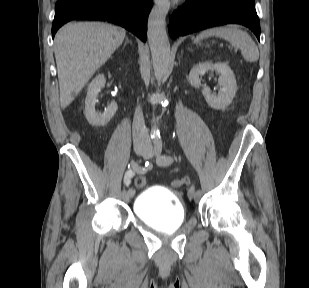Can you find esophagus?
Wrapping results in <instances>:
<instances>
[{"label": "esophagus", "instance_id": "34e87169", "mask_svg": "<svg viewBox=\"0 0 309 288\" xmlns=\"http://www.w3.org/2000/svg\"><path fill=\"white\" fill-rule=\"evenodd\" d=\"M154 2H155L156 4H158V3L160 2V0H154Z\"/></svg>", "mask_w": 309, "mask_h": 288}]
</instances>
